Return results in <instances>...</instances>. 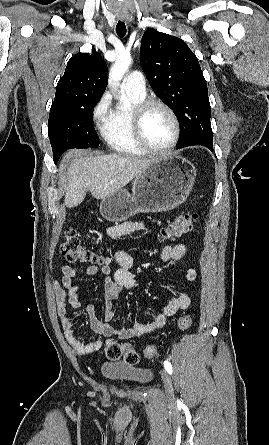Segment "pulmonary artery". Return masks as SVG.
<instances>
[{"instance_id": "1", "label": "pulmonary artery", "mask_w": 269, "mask_h": 445, "mask_svg": "<svg viewBox=\"0 0 269 445\" xmlns=\"http://www.w3.org/2000/svg\"><path fill=\"white\" fill-rule=\"evenodd\" d=\"M122 89L140 96H145V80L142 73L134 71L128 74L122 82Z\"/></svg>"}]
</instances>
